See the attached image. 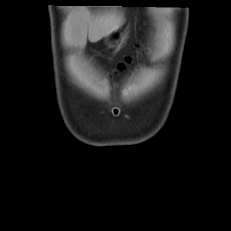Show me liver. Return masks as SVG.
Masks as SVG:
<instances>
[{
  "label": "liver",
  "mask_w": 231,
  "mask_h": 231,
  "mask_svg": "<svg viewBox=\"0 0 231 231\" xmlns=\"http://www.w3.org/2000/svg\"><path fill=\"white\" fill-rule=\"evenodd\" d=\"M124 21V17L116 10L92 17L87 8L75 7L68 15L65 40L68 44L82 50L86 46L87 37L90 42H97L118 30Z\"/></svg>",
  "instance_id": "liver-1"
}]
</instances>
